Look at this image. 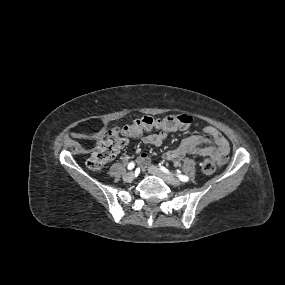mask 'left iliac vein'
I'll list each match as a JSON object with an SVG mask.
<instances>
[{
	"instance_id": "obj_1",
	"label": "left iliac vein",
	"mask_w": 285,
	"mask_h": 285,
	"mask_svg": "<svg viewBox=\"0 0 285 285\" xmlns=\"http://www.w3.org/2000/svg\"><path fill=\"white\" fill-rule=\"evenodd\" d=\"M147 170L150 174L161 177L167 184L173 186H179L181 184L180 181L168 171H163L155 165H150Z\"/></svg>"
}]
</instances>
